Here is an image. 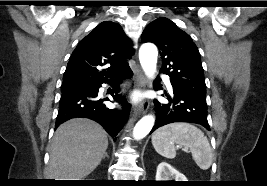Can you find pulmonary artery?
<instances>
[{
    "label": "pulmonary artery",
    "instance_id": "obj_1",
    "mask_svg": "<svg viewBox=\"0 0 267 186\" xmlns=\"http://www.w3.org/2000/svg\"><path fill=\"white\" fill-rule=\"evenodd\" d=\"M166 86H167L169 89H172L171 83H170L168 80L166 81Z\"/></svg>",
    "mask_w": 267,
    "mask_h": 186
}]
</instances>
